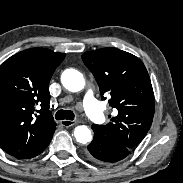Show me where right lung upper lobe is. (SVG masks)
I'll return each mask as SVG.
<instances>
[{
    "label": "right lung upper lobe",
    "mask_w": 183,
    "mask_h": 183,
    "mask_svg": "<svg viewBox=\"0 0 183 183\" xmlns=\"http://www.w3.org/2000/svg\"><path fill=\"white\" fill-rule=\"evenodd\" d=\"M64 58V53L31 48L0 66V146L11 156L29 159L50 143L56 123L48 85Z\"/></svg>",
    "instance_id": "cb5924a9"
}]
</instances>
